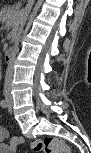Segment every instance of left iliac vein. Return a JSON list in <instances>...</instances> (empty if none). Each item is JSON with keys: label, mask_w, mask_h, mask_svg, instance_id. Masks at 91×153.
I'll return each instance as SVG.
<instances>
[{"label": "left iliac vein", "mask_w": 91, "mask_h": 153, "mask_svg": "<svg viewBox=\"0 0 91 153\" xmlns=\"http://www.w3.org/2000/svg\"><path fill=\"white\" fill-rule=\"evenodd\" d=\"M8 111L9 112L12 111V102H11V99L9 100V103H8Z\"/></svg>", "instance_id": "4c4485c4"}]
</instances>
